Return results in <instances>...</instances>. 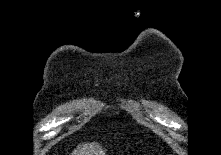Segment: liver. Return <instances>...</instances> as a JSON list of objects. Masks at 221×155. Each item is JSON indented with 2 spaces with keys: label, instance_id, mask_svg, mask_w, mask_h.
I'll use <instances>...</instances> for the list:
<instances>
[{
  "label": "liver",
  "instance_id": "obj_1",
  "mask_svg": "<svg viewBox=\"0 0 221 155\" xmlns=\"http://www.w3.org/2000/svg\"><path fill=\"white\" fill-rule=\"evenodd\" d=\"M72 155H105V151L99 144L93 142L78 145Z\"/></svg>",
  "mask_w": 221,
  "mask_h": 155
}]
</instances>
